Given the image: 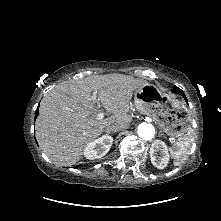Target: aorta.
<instances>
[{
  "label": "aorta",
  "instance_id": "762f6f07",
  "mask_svg": "<svg viewBox=\"0 0 221 221\" xmlns=\"http://www.w3.org/2000/svg\"><path fill=\"white\" fill-rule=\"evenodd\" d=\"M138 135L143 140H151L155 135V128L149 123H141L138 126Z\"/></svg>",
  "mask_w": 221,
  "mask_h": 221
}]
</instances>
